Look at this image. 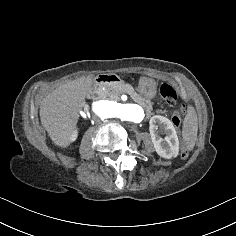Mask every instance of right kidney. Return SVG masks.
<instances>
[{
  "mask_svg": "<svg viewBox=\"0 0 236 236\" xmlns=\"http://www.w3.org/2000/svg\"><path fill=\"white\" fill-rule=\"evenodd\" d=\"M76 136H77V131L76 129L71 133L70 135V140L71 141H74L76 139Z\"/></svg>",
  "mask_w": 236,
  "mask_h": 236,
  "instance_id": "right-kidney-1",
  "label": "right kidney"
}]
</instances>
